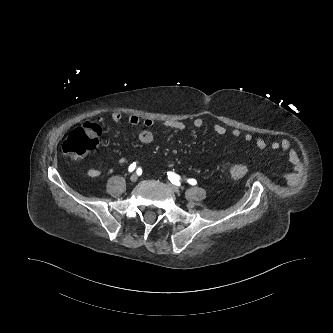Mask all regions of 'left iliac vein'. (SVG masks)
<instances>
[{
    "label": "left iliac vein",
    "mask_w": 333,
    "mask_h": 333,
    "mask_svg": "<svg viewBox=\"0 0 333 333\" xmlns=\"http://www.w3.org/2000/svg\"><path fill=\"white\" fill-rule=\"evenodd\" d=\"M168 186L170 187V189H171L173 192H175V193H180V189H179L176 185H174V184H172V183H168Z\"/></svg>",
    "instance_id": "4c4485c4"
}]
</instances>
